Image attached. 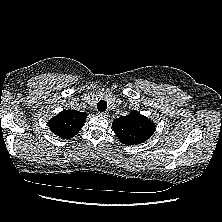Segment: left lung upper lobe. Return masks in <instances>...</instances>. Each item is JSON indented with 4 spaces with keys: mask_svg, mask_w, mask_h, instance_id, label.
Here are the masks:
<instances>
[{
    "mask_svg": "<svg viewBox=\"0 0 222 222\" xmlns=\"http://www.w3.org/2000/svg\"><path fill=\"white\" fill-rule=\"evenodd\" d=\"M112 127L120 141L128 145L143 143L155 131V124L134 110L126 116L115 119Z\"/></svg>",
    "mask_w": 222,
    "mask_h": 222,
    "instance_id": "1",
    "label": "left lung upper lobe"
}]
</instances>
